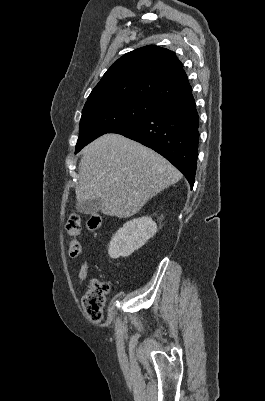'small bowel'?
<instances>
[{"label": "small bowel", "mask_w": 265, "mask_h": 401, "mask_svg": "<svg viewBox=\"0 0 265 401\" xmlns=\"http://www.w3.org/2000/svg\"><path fill=\"white\" fill-rule=\"evenodd\" d=\"M89 262L84 260L80 266L78 273V285L81 286L88 276Z\"/></svg>", "instance_id": "obj_1"}]
</instances>
